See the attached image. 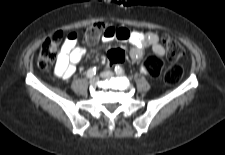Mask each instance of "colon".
Segmentation results:
<instances>
[{
	"instance_id": "1",
	"label": "colon",
	"mask_w": 225,
	"mask_h": 155,
	"mask_svg": "<svg viewBox=\"0 0 225 155\" xmlns=\"http://www.w3.org/2000/svg\"><path fill=\"white\" fill-rule=\"evenodd\" d=\"M109 29L110 26L101 22L91 24L82 31L83 40L88 44L95 43ZM62 34V32H56L42 44L37 58V65L41 70H46L57 59ZM163 41L170 61L177 62L184 57L183 47L178 41L169 37H164ZM107 58L111 63L118 64L126 61L127 54L122 47L115 46L108 51ZM164 68L165 61L163 59L150 58L148 62L141 65L140 72L144 76L151 75L153 78H160ZM182 76V68L179 65H172L164 72L163 78L167 84H175L181 80Z\"/></svg>"
}]
</instances>
